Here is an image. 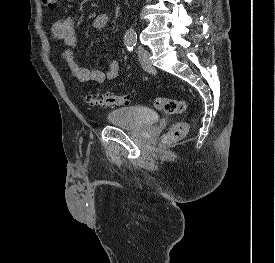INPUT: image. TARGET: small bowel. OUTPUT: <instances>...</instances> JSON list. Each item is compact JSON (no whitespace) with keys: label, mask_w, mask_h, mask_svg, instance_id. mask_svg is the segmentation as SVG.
Segmentation results:
<instances>
[{"label":"small bowel","mask_w":275,"mask_h":263,"mask_svg":"<svg viewBox=\"0 0 275 263\" xmlns=\"http://www.w3.org/2000/svg\"><path fill=\"white\" fill-rule=\"evenodd\" d=\"M73 1V0H68ZM110 22V15L100 13L94 16L92 27L95 30L105 29ZM51 33L54 38L61 40L69 48L62 52L61 59L70 69L72 77L81 83H104L117 78L120 65L117 60H110L106 71L97 68H89L77 63L74 59L72 48L77 44V35L72 17H65L55 21L51 26Z\"/></svg>","instance_id":"c3829d8e"}]
</instances>
